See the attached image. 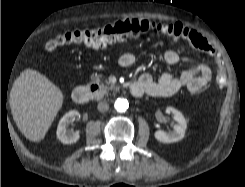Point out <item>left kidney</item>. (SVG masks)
Masks as SVG:
<instances>
[{
	"instance_id": "obj_1",
	"label": "left kidney",
	"mask_w": 245,
	"mask_h": 187,
	"mask_svg": "<svg viewBox=\"0 0 245 187\" xmlns=\"http://www.w3.org/2000/svg\"><path fill=\"white\" fill-rule=\"evenodd\" d=\"M167 113L173 115V119L176 124L173 125V129L170 131L157 130L154 134L155 138L162 143H173L183 139L187 128V121L180 111L173 107L166 108Z\"/></svg>"
}]
</instances>
